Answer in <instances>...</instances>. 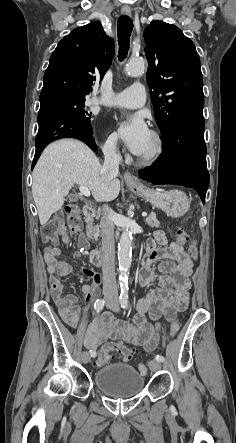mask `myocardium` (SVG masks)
I'll list each match as a JSON object with an SVG mask.
<instances>
[{
    "instance_id": "obj_1",
    "label": "myocardium",
    "mask_w": 236,
    "mask_h": 443,
    "mask_svg": "<svg viewBox=\"0 0 236 443\" xmlns=\"http://www.w3.org/2000/svg\"><path fill=\"white\" fill-rule=\"evenodd\" d=\"M154 141L153 149L146 154H139L138 161L145 166H150L157 163L165 152V144L161 134L155 130L150 132Z\"/></svg>"
}]
</instances>
